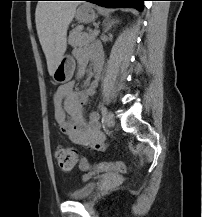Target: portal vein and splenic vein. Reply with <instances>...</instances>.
Segmentation results:
<instances>
[{
	"label": "portal vein and splenic vein",
	"instance_id": "portal-vein-and-splenic-vein-1",
	"mask_svg": "<svg viewBox=\"0 0 202 217\" xmlns=\"http://www.w3.org/2000/svg\"><path fill=\"white\" fill-rule=\"evenodd\" d=\"M97 33H98L97 31H94V33H93V34H94V35H97Z\"/></svg>",
	"mask_w": 202,
	"mask_h": 217
}]
</instances>
